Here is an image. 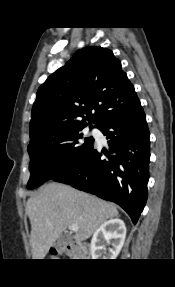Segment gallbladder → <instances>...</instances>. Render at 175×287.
Segmentation results:
<instances>
[{"label": "gallbladder", "mask_w": 175, "mask_h": 287, "mask_svg": "<svg viewBox=\"0 0 175 287\" xmlns=\"http://www.w3.org/2000/svg\"><path fill=\"white\" fill-rule=\"evenodd\" d=\"M72 238H73V235H72V234L65 232V233H62V234L59 236L57 242H58V244H63V243H65V242H68V241L71 240Z\"/></svg>", "instance_id": "1"}]
</instances>
